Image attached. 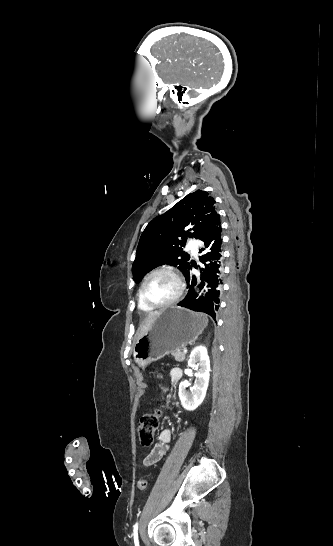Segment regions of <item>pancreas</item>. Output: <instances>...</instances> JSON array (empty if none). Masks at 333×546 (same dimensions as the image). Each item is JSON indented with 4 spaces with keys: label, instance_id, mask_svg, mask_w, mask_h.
<instances>
[{
    "label": "pancreas",
    "instance_id": "pancreas-1",
    "mask_svg": "<svg viewBox=\"0 0 333 546\" xmlns=\"http://www.w3.org/2000/svg\"><path fill=\"white\" fill-rule=\"evenodd\" d=\"M171 355L178 362H183L185 360V357H186V353H183L180 349L172 351Z\"/></svg>",
    "mask_w": 333,
    "mask_h": 546
}]
</instances>
